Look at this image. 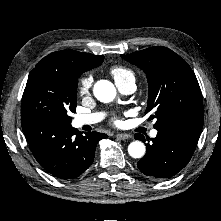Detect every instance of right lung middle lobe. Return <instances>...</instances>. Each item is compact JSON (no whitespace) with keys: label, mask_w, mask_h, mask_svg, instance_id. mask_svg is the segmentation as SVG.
Returning <instances> with one entry per match:
<instances>
[{"label":"right lung middle lobe","mask_w":221,"mask_h":221,"mask_svg":"<svg viewBox=\"0 0 221 221\" xmlns=\"http://www.w3.org/2000/svg\"><path fill=\"white\" fill-rule=\"evenodd\" d=\"M77 80L56 72H30L22 97L21 121L45 119L70 125L76 111Z\"/></svg>","instance_id":"obj_1"}]
</instances>
